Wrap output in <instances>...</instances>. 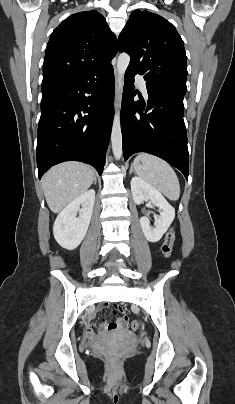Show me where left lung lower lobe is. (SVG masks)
<instances>
[{
    "label": "left lung lower lobe",
    "mask_w": 235,
    "mask_h": 404,
    "mask_svg": "<svg viewBox=\"0 0 235 404\" xmlns=\"http://www.w3.org/2000/svg\"><path fill=\"white\" fill-rule=\"evenodd\" d=\"M135 74L128 69L125 73L121 109L124 159L126 161L137 152L153 154L178 168L188 180L184 95L146 84L149 97L147 104L142 100L133 103Z\"/></svg>",
    "instance_id": "0a47b994"
}]
</instances>
